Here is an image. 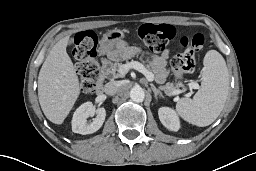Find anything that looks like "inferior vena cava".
Wrapping results in <instances>:
<instances>
[{
  "label": "inferior vena cava",
  "instance_id": "inferior-vena-cava-1",
  "mask_svg": "<svg viewBox=\"0 0 256 171\" xmlns=\"http://www.w3.org/2000/svg\"><path fill=\"white\" fill-rule=\"evenodd\" d=\"M119 87L116 82H108L104 86V91L107 95H114L117 93Z\"/></svg>",
  "mask_w": 256,
  "mask_h": 171
}]
</instances>
